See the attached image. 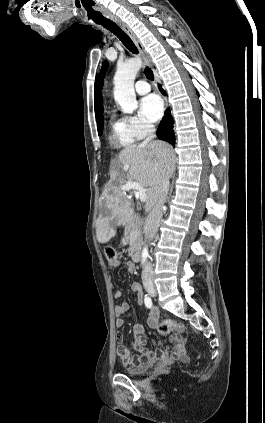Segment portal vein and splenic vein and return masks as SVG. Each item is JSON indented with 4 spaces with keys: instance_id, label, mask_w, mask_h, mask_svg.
<instances>
[{
    "instance_id": "obj_1",
    "label": "portal vein and splenic vein",
    "mask_w": 265,
    "mask_h": 423,
    "mask_svg": "<svg viewBox=\"0 0 265 423\" xmlns=\"http://www.w3.org/2000/svg\"><path fill=\"white\" fill-rule=\"evenodd\" d=\"M122 189L125 191H136V195L138 196L141 202H146L147 200L144 188L137 182H127L125 185L122 186Z\"/></svg>"
}]
</instances>
